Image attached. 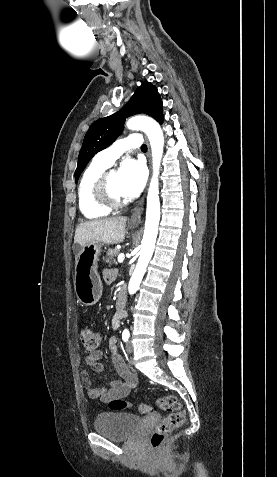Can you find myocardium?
<instances>
[{
    "label": "myocardium",
    "mask_w": 277,
    "mask_h": 477,
    "mask_svg": "<svg viewBox=\"0 0 277 477\" xmlns=\"http://www.w3.org/2000/svg\"><path fill=\"white\" fill-rule=\"evenodd\" d=\"M112 171L105 170L95 181L92 188L94 200L102 207L109 210H116L124 206L125 200L117 198L110 192L109 176Z\"/></svg>",
    "instance_id": "f54148a6"
}]
</instances>
